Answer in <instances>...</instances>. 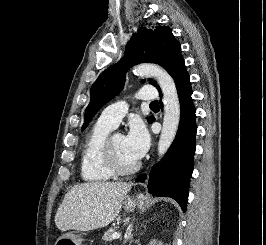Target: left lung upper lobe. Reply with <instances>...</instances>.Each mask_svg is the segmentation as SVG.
<instances>
[{"mask_svg": "<svg viewBox=\"0 0 266 245\" xmlns=\"http://www.w3.org/2000/svg\"><path fill=\"white\" fill-rule=\"evenodd\" d=\"M181 59H183L181 46L173 36L171 28L166 26L153 29L139 28L128 41L124 57L104 70L92 85L90 103L85 110L82 130L88 126L96 112L122 90L126 71L131 66L151 62L161 65L171 74ZM150 81L153 86L160 89L156 82ZM152 117L147 118L148 122Z\"/></svg>", "mask_w": 266, "mask_h": 245, "instance_id": "left-lung-upper-lobe-1", "label": "left lung upper lobe"}]
</instances>
